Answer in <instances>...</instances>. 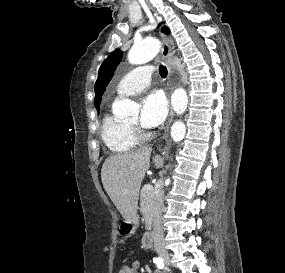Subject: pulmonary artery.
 <instances>
[{
	"label": "pulmonary artery",
	"instance_id": "obj_1",
	"mask_svg": "<svg viewBox=\"0 0 285 273\" xmlns=\"http://www.w3.org/2000/svg\"><path fill=\"white\" fill-rule=\"evenodd\" d=\"M154 67L151 65H141L126 73L116 86L118 95H132L140 92L151 82V75Z\"/></svg>",
	"mask_w": 285,
	"mask_h": 273
}]
</instances>
